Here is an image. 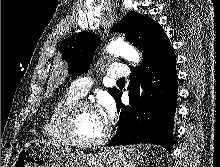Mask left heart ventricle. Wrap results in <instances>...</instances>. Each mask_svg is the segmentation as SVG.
Listing matches in <instances>:
<instances>
[{
  "label": "left heart ventricle",
  "mask_w": 220,
  "mask_h": 167,
  "mask_svg": "<svg viewBox=\"0 0 220 167\" xmlns=\"http://www.w3.org/2000/svg\"><path fill=\"white\" fill-rule=\"evenodd\" d=\"M106 129L95 109L82 108L79 110L76 123L75 132L79 139L84 141H92L100 138Z\"/></svg>",
  "instance_id": "1"
}]
</instances>
